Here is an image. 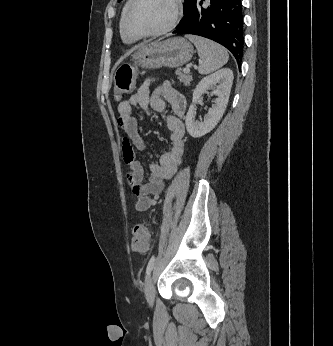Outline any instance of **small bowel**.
I'll list each match as a JSON object with an SVG mask.
<instances>
[{"mask_svg":"<svg viewBox=\"0 0 333 346\" xmlns=\"http://www.w3.org/2000/svg\"><path fill=\"white\" fill-rule=\"evenodd\" d=\"M149 84L150 80H147L128 100L118 105V123L124 133L122 152L129 168L128 180L132 193L137 196L135 208L138 211H147L157 203L165 182L176 173L184 153L185 127L182 118L186 111L185 97L169 81L161 82L152 94ZM167 105L171 112L167 110ZM133 107H140L145 112L152 109L163 113L170 131V149L161 151L159 161L149 165L148 181H144L143 167L136 158L135 150H145L146 144L139 136Z\"/></svg>","mask_w":333,"mask_h":346,"instance_id":"obj_1","label":"small bowel"}]
</instances>
